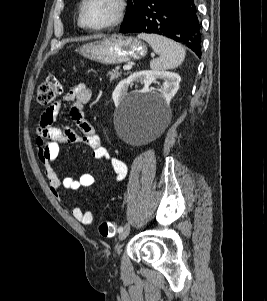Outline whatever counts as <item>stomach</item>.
<instances>
[{"instance_id": "stomach-1", "label": "stomach", "mask_w": 267, "mask_h": 301, "mask_svg": "<svg viewBox=\"0 0 267 301\" xmlns=\"http://www.w3.org/2000/svg\"><path fill=\"white\" fill-rule=\"evenodd\" d=\"M76 52L102 64H119L145 57L147 47L137 38L116 35L84 44Z\"/></svg>"}]
</instances>
